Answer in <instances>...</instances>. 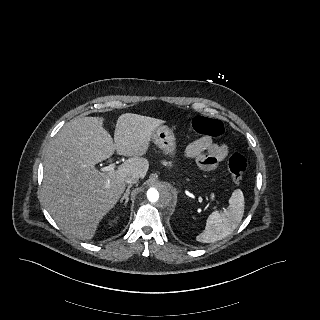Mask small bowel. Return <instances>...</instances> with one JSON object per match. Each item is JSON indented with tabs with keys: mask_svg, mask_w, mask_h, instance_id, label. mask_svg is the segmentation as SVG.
Listing matches in <instances>:
<instances>
[{
	"mask_svg": "<svg viewBox=\"0 0 320 320\" xmlns=\"http://www.w3.org/2000/svg\"><path fill=\"white\" fill-rule=\"evenodd\" d=\"M229 153L225 144H218L210 136L191 142L185 149L187 158H196L199 166L205 171L214 170Z\"/></svg>",
	"mask_w": 320,
	"mask_h": 320,
	"instance_id": "1",
	"label": "small bowel"
}]
</instances>
